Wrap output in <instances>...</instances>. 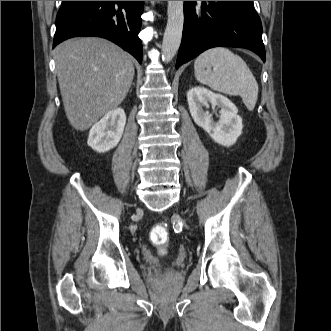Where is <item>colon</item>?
<instances>
[{
	"label": "colon",
	"instance_id": "1",
	"mask_svg": "<svg viewBox=\"0 0 331 331\" xmlns=\"http://www.w3.org/2000/svg\"><path fill=\"white\" fill-rule=\"evenodd\" d=\"M150 241L157 246H165L169 241V230L164 224L155 225L149 233ZM167 274V268L161 267L159 276L163 277Z\"/></svg>",
	"mask_w": 331,
	"mask_h": 331
}]
</instances>
